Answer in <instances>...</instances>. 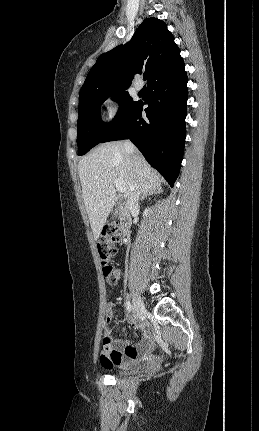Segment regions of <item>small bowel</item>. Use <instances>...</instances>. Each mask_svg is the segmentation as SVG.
Returning <instances> with one entry per match:
<instances>
[{
	"mask_svg": "<svg viewBox=\"0 0 259 431\" xmlns=\"http://www.w3.org/2000/svg\"><path fill=\"white\" fill-rule=\"evenodd\" d=\"M139 327L143 330V337L139 344L125 343L122 340L114 339V304L109 303L104 330V337L109 342L103 343V351L100 359L104 368L111 369L114 366H128L147 355L152 343L153 334L145 323H140ZM116 331H123V329L117 327Z\"/></svg>",
	"mask_w": 259,
	"mask_h": 431,
	"instance_id": "c3829d8e",
	"label": "small bowel"
}]
</instances>
